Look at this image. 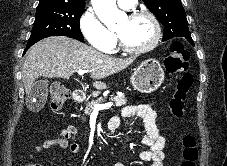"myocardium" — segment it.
<instances>
[{"mask_svg": "<svg viewBox=\"0 0 227 166\" xmlns=\"http://www.w3.org/2000/svg\"><path fill=\"white\" fill-rule=\"evenodd\" d=\"M126 16H127L128 19H131V20L137 19V18H140V17L148 18L153 25L154 35H153L152 40L147 45H145L143 47H139V48H133V47L127 46L121 40L119 34L117 32H115V36H116L118 46L124 52H127L129 54H134V55L145 54V53L153 50L158 45L160 38H161V27H160V23H159L158 19L156 18V16L154 14H152L151 12L145 11V10L132 11V12L128 13Z\"/></svg>", "mask_w": 227, "mask_h": 166, "instance_id": "obj_1", "label": "myocardium"}]
</instances>
